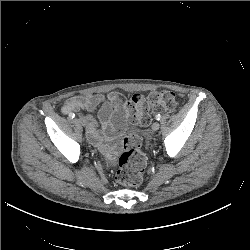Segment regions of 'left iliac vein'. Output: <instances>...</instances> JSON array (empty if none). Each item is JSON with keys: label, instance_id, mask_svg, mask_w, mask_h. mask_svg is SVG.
Returning a JSON list of instances; mask_svg holds the SVG:
<instances>
[{"label": "left iliac vein", "instance_id": "obj_1", "mask_svg": "<svg viewBox=\"0 0 250 250\" xmlns=\"http://www.w3.org/2000/svg\"><path fill=\"white\" fill-rule=\"evenodd\" d=\"M160 127V124L158 122H154L151 126L153 131H157Z\"/></svg>", "mask_w": 250, "mask_h": 250}]
</instances>
